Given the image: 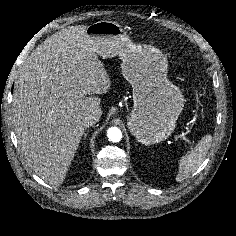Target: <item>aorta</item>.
<instances>
[{"label": "aorta", "mask_w": 236, "mask_h": 236, "mask_svg": "<svg viewBox=\"0 0 236 236\" xmlns=\"http://www.w3.org/2000/svg\"><path fill=\"white\" fill-rule=\"evenodd\" d=\"M107 136L112 142H119L122 139V132L117 127H110L107 130Z\"/></svg>", "instance_id": "1"}]
</instances>
